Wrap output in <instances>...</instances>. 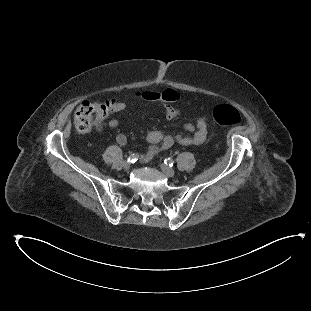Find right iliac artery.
I'll return each instance as SVG.
<instances>
[{"mask_svg":"<svg viewBox=\"0 0 311 311\" xmlns=\"http://www.w3.org/2000/svg\"><path fill=\"white\" fill-rule=\"evenodd\" d=\"M138 158H139V155H138L137 153H136V154H131V155L128 157L127 161H128V162H131V163H134V162L137 161Z\"/></svg>","mask_w":311,"mask_h":311,"instance_id":"right-iliac-artery-1","label":"right iliac artery"}]
</instances>
